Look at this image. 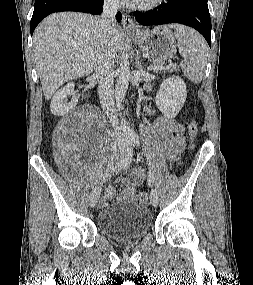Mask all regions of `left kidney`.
Listing matches in <instances>:
<instances>
[{"label": "left kidney", "instance_id": "left-kidney-1", "mask_svg": "<svg viewBox=\"0 0 253 285\" xmlns=\"http://www.w3.org/2000/svg\"><path fill=\"white\" fill-rule=\"evenodd\" d=\"M187 97L186 85L179 76L165 79L156 94L155 103L165 117L173 118L182 109Z\"/></svg>", "mask_w": 253, "mask_h": 285}]
</instances>
